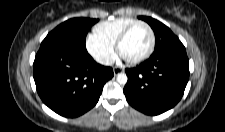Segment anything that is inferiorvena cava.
I'll list each match as a JSON object with an SVG mask.
<instances>
[{"label":"inferior vena cava","mask_w":225,"mask_h":132,"mask_svg":"<svg viewBox=\"0 0 225 132\" xmlns=\"http://www.w3.org/2000/svg\"><path fill=\"white\" fill-rule=\"evenodd\" d=\"M114 58L110 57V58H101L98 60L99 63L106 65V66H110L114 63Z\"/></svg>","instance_id":"602c4592"}]
</instances>
